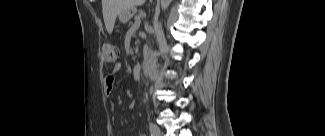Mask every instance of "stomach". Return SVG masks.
Returning a JSON list of instances; mask_svg holds the SVG:
<instances>
[{
  "mask_svg": "<svg viewBox=\"0 0 325 136\" xmlns=\"http://www.w3.org/2000/svg\"><path fill=\"white\" fill-rule=\"evenodd\" d=\"M135 10L133 8H127L126 11L119 14V19L121 22H127L133 17Z\"/></svg>",
  "mask_w": 325,
  "mask_h": 136,
  "instance_id": "0dacf381",
  "label": "stomach"
}]
</instances>
